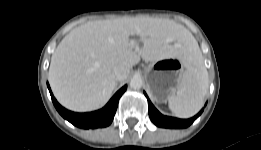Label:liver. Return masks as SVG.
I'll return each mask as SVG.
<instances>
[{
	"label": "liver",
	"mask_w": 261,
	"mask_h": 150,
	"mask_svg": "<svg viewBox=\"0 0 261 150\" xmlns=\"http://www.w3.org/2000/svg\"><path fill=\"white\" fill-rule=\"evenodd\" d=\"M139 36L135 47L130 36ZM197 44L182 25L169 19L123 17L87 22L71 30L51 57L49 82L61 105L85 112L102 107L116 87L115 66L129 70L140 58L156 62L183 56Z\"/></svg>",
	"instance_id": "1"
}]
</instances>
